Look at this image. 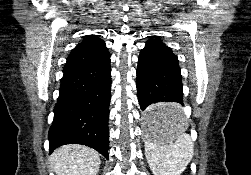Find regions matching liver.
Returning <instances> with one entry per match:
<instances>
[{
	"instance_id": "6515ba94",
	"label": "liver",
	"mask_w": 251,
	"mask_h": 175,
	"mask_svg": "<svg viewBox=\"0 0 251 175\" xmlns=\"http://www.w3.org/2000/svg\"><path fill=\"white\" fill-rule=\"evenodd\" d=\"M100 163L98 151L78 143L57 147L50 157L56 175H97Z\"/></svg>"
}]
</instances>
